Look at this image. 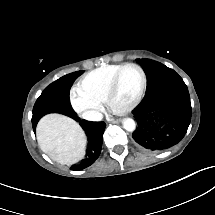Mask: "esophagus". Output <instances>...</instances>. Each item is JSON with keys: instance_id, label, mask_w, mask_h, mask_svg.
I'll use <instances>...</instances> for the list:
<instances>
[{"instance_id": "34e87169", "label": "esophagus", "mask_w": 215, "mask_h": 215, "mask_svg": "<svg viewBox=\"0 0 215 215\" xmlns=\"http://www.w3.org/2000/svg\"><path fill=\"white\" fill-rule=\"evenodd\" d=\"M107 121L110 123H118L119 122V120H115L113 118H107Z\"/></svg>"}]
</instances>
